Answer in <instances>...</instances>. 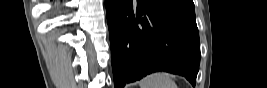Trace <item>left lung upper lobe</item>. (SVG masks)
<instances>
[{"mask_svg": "<svg viewBox=\"0 0 267 88\" xmlns=\"http://www.w3.org/2000/svg\"><path fill=\"white\" fill-rule=\"evenodd\" d=\"M170 1L178 3V4L183 5L185 7H189V8L194 9L193 0H170Z\"/></svg>", "mask_w": 267, "mask_h": 88, "instance_id": "5c2ea615", "label": "left lung upper lobe"}]
</instances>
